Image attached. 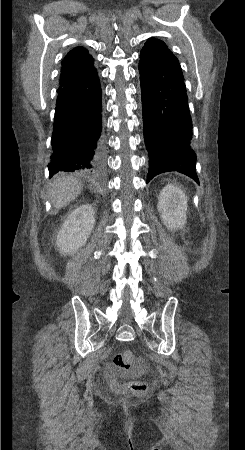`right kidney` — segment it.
Returning a JSON list of instances; mask_svg holds the SVG:
<instances>
[{"mask_svg":"<svg viewBox=\"0 0 245 450\" xmlns=\"http://www.w3.org/2000/svg\"><path fill=\"white\" fill-rule=\"evenodd\" d=\"M95 211L91 205L75 208L62 224L57 234L56 245L63 255L73 254L85 245L95 224Z\"/></svg>","mask_w":245,"mask_h":450,"instance_id":"1","label":"right kidney"}]
</instances>
